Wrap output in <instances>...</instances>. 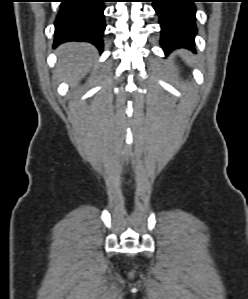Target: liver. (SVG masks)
I'll use <instances>...</instances> for the list:
<instances>
[{
  "instance_id": "obj_1",
  "label": "liver",
  "mask_w": 248,
  "mask_h": 299,
  "mask_svg": "<svg viewBox=\"0 0 248 299\" xmlns=\"http://www.w3.org/2000/svg\"><path fill=\"white\" fill-rule=\"evenodd\" d=\"M57 54V75L70 81H78L89 71L97 51L89 43L71 42L61 45Z\"/></svg>"
}]
</instances>
